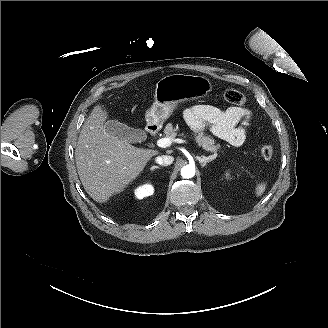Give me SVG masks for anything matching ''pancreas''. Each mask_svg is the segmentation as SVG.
I'll return each mask as SVG.
<instances>
[{"mask_svg":"<svg viewBox=\"0 0 328 328\" xmlns=\"http://www.w3.org/2000/svg\"><path fill=\"white\" fill-rule=\"evenodd\" d=\"M164 135L173 140L177 136V129L173 128L171 123H168L164 128ZM195 141L198 146L202 147L204 150L212 152L213 159L217 157V150L220 148V144L215 145L212 137L199 133L195 136Z\"/></svg>","mask_w":328,"mask_h":328,"instance_id":"obj_1","label":"pancreas"}]
</instances>
